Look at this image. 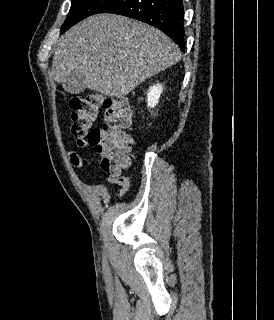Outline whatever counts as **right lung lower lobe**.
Segmentation results:
<instances>
[{"label": "right lung lower lobe", "instance_id": "98d812e1", "mask_svg": "<svg viewBox=\"0 0 274 320\" xmlns=\"http://www.w3.org/2000/svg\"><path fill=\"white\" fill-rule=\"evenodd\" d=\"M183 11L182 0H117L101 13L124 15L153 25L184 51Z\"/></svg>", "mask_w": 274, "mask_h": 320}]
</instances>
